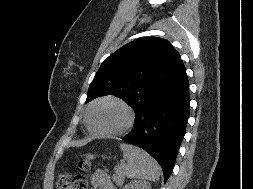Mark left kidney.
I'll return each instance as SVG.
<instances>
[{"mask_svg": "<svg viewBox=\"0 0 253 189\" xmlns=\"http://www.w3.org/2000/svg\"><path fill=\"white\" fill-rule=\"evenodd\" d=\"M123 189H151V186L145 181L135 180L125 185Z\"/></svg>", "mask_w": 253, "mask_h": 189, "instance_id": "1", "label": "left kidney"}]
</instances>
